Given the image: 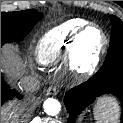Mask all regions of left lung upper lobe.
Returning a JSON list of instances; mask_svg holds the SVG:
<instances>
[{
  "instance_id": "left-lung-upper-lobe-1",
  "label": "left lung upper lobe",
  "mask_w": 123,
  "mask_h": 123,
  "mask_svg": "<svg viewBox=\"0 0 123 123\" xmlns=\"http://www.w3.org/2000/svg\"><path fill=\"white\" fill-rule=\"evenodd\" d=\"M112 23L111 41L103 69L109 72L123 69V22L116 16H110Z\"/></svg>"
}]
</instances>
